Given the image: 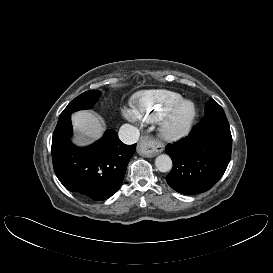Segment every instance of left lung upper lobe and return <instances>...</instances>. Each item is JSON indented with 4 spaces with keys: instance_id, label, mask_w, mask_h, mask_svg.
I'll list each match as a JSON object with an SVG mask.
<instances>
[{
    "instance_id": "obj_1",
    "label": "left lung upper lobe",
    "mask_w": 273,
    "mask_h": 273,
    "mask_svg": "<svg viewBox=\"0 0 273 273\" xmlns=\"http://www.w3.org/2000/svg\"><path fill=\"white\" fill-rule=\"evenodd\" d=\"M205 119H221L226 118L222 107L213 99H210L205 105Z\"/></svg>"
}]
</instances>
